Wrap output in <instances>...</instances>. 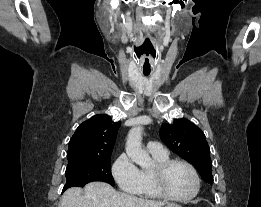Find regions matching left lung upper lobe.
<instances>
[{
    "mask_svg": "<svg viewBox=\"0 0 261 207\" xmlns=\"http://www.w3.org/2000/svg\"><path fill=\"white\" fill-rule=\"evenodd\" d=\"M160 137L173 152L190 162L205 182L212 184L210 149L199 127L187 119H176L173 124H162Z\"/></svg>",
    "mask_w": 261,
    "mask_h": 207,
    "instance_id": "5c2ea615",
    "label": "left lung upper lobe"
}]
</instances>
